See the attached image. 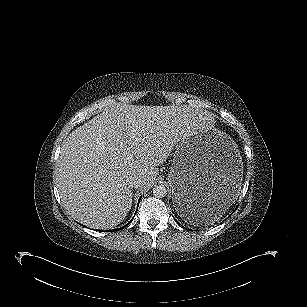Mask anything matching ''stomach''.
Wrapping results in <instances>:
<instances>
[{
  "mask_svg": "<svg viewBox=\"0 0 307 307\" xmlns=\"http://www.w3.org/2000/svg\"><path fill=\"white\" fill-rule=\"evenodd\" d=\"M242 178L237 145L212 126L198 127L179 143L167 177L175 210L188 222L200 212L230 207L240 193Z\"/></svg>",
  "mask_w": 307,
  "mask_h": 307,
  "instance_id": "obj_1",
  "label": "stomach"
}]
</instances>
